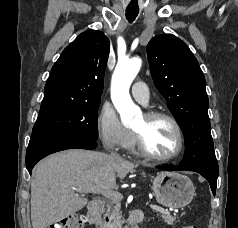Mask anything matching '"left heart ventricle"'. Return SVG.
I'll use <instances>...</instances> for the list:
<instances>
[{
    "label": "left heart ventricle",
    "mask_w": 238,
    "mask_h": 228,
    "mask_svg": "<svg viewBox=\"0 0 238 228\" xmlns=\"http://www.w3.org/2000/svg\"><path fill=\"white\" fill-rule=\"evenodd\" d=\"M133 130L140 133L147 149L157 156H169L177 148V136L172 124L165 119L148 120L141 116Z\"/></svg>",
    "instance_id": "obj_1"
}]
</instances>
